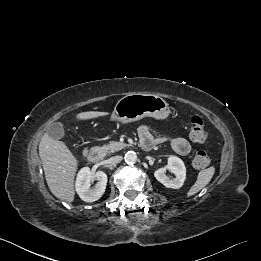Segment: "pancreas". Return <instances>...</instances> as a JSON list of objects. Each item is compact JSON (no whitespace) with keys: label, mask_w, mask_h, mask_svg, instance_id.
<instances>
[{"label":"pancreas","mask_w":261,"mask_h":261,"mask_svg":"<svg viewBox=\"0 0 261 261\" xmlns=\"http://www.w3.org/2000/svg\"><path fill=\"white\" fill-rule=\"evenodd\" d=\"M127 145L122 142H116V141H111L108 145L103 146V149L107 153H114L115 151H119L123 148H125Z\"/></svg>","instance_id":"cf45deb5"}]
</instances>
